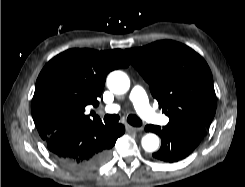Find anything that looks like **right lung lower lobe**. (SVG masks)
Returning a JSON list of instances; mask_svg holds the SVG:
<instances>
[{"instance_id":"1","label":"right lung lower lobe","mask_w":245,"mask_h":187,"mask_svg":"<svg viewBox=\"0 0 245 187\" xmlns=\"http://www.w3.org/2000/svg\"><path fill=\"white\" fill-rule=\"evenodd\" d=\"M124 132L122 124L105 126L92 122L55 132L45 142L54 158L65 167L90 171L108 161L111 148Z\"/></svg>"}]
</instances>
